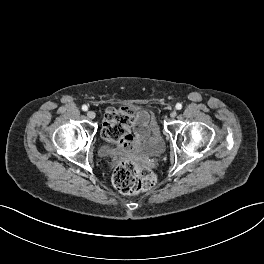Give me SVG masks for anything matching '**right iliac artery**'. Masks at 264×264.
<instances>
[{
    "label": "right iliac artery",
    "instance_id": "1",
    "mask_svg": "<svg viewBox=\"0 0 264 264\" xmlns=\"http://www.w3.org/2000/svg\"><path fill=\"white\" fill-rule=\"evenodd\" d=\"M82 110H83V111H87V110H88V106H87V105H83V106H82Z\"/></svg>",
    "mask_w": 264,
    "mask_h": 264
}]
</instances>
